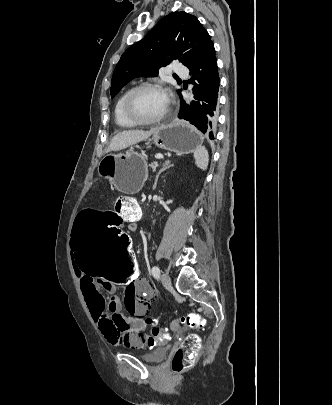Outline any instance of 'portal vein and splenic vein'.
Returning a JSON list of instances; mask_svg holds the SVG:
<instances>
[{"mask_svg":"<svg viewBox=\"0 0 332 405\" xmlns=\"http://www.w3.org/2000/svg\"><path fill=\"white\" fill-rule=\"evenodd\" d=\"M156 158L157 159H163V155H157Z\"/></svg>","mask_w":332,"mask_h":405,"instance_id":"18ae733b","label":"portal vein and splenic vein"}]
</instances>
